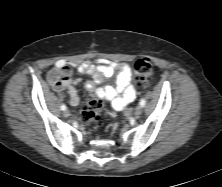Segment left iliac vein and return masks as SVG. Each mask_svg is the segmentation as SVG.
Segmentation results:
<instances>
[{"label": "left iliac vein", "instance_id": "1", "mask_svg": "<svg viewBox=\"0 0 222 187\" xmlns=\"http://www.w3.org/2000/svg\"><path fill=\"white\" fill-rule=\"evenodd\" d=\"M142 112H143V108H142V106L140 105V106H138L136 109H135V116L136 117H139L141 114H142Z\"/></svg>", "mask_w": 222, "mask_h": 187}]
</instances>
